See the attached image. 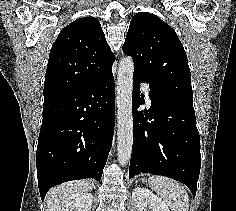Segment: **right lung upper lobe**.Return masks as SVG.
Masks as SVG:
<instances>
[{
	"label": "right lung upper lobe",
	"mask_w": 236,
	"mask_h": 211,
	"mask_svg": "<svg viewBox=\"0 0 236 211\" xmlns=\"http://www.w3.org/2000/svg\"><path fill=\"white\" fill-rule=\"evenodd\" d=\"M114 61L100 22L94 17L75 20L52 45L44 97L92 85L112 72Z\"/></svg>",
	"instance_id": "obj_1"
}]
</instances>
